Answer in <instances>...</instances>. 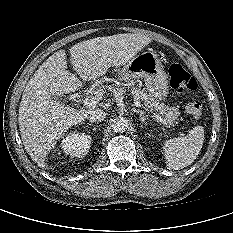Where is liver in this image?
<instances>
[{"label":"liver","mask_w":233,"mask_h":233,"mask_svg":"<svg viewBox=\"0 0 233 233\" xmlns=\"http://www.w3.org/2000/svg\"><path fill=\"white\" fill-rule=\"evenodd\" d=\"M150 43L151 38L144 35L117 34L79 42L69 52L78 76L91 81L111 67L125 65ZM81 86V80L68 71L66 53L61 49L38 68L24 90L18 116L21 139L29 156L42 169L57 140L72 126L82 124L96 108L77 110L57 100Z\"/></svg>","instance_id":"obj_1"}]
</instances>
